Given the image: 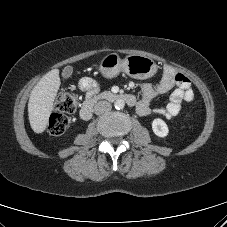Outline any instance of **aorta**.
Here are the masks:
<instances>
[{
  "label": "aorta",
  "instance_id": "obj_1",
  "mask_svg": "<svg viewBox=\"0 0 227 227\" xmlns=\"http://www.w3.org/2000/svg\"><path fill=\"white\" fill-rule=\"evenodd\" d=\"M114 106L116 109L120 110V109H123L124 106H125V102L123 99H117L115 102H114Z\"/></svg>",
  "mask_w": 227,
  "mask_h": 227
}]
</instances>
